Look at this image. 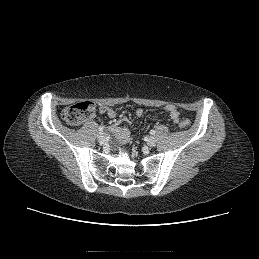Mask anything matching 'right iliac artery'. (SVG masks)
<instances>
[{
	"label": "right iliac artery",
	"instance_id": "82829eb1",
	"mask_svg": "<svg viewBox=\"0 0 259 259\" xmlns=\"http://www.w3.org/2000/svg\"><path fill=\"white\" fill-rule=\"evenodd\" d=\"M104 128L103 127H99V131L103 132Z\"/></svg>",
	"mask_w": 259,
	"mask_h": 259
}]
</instances>
